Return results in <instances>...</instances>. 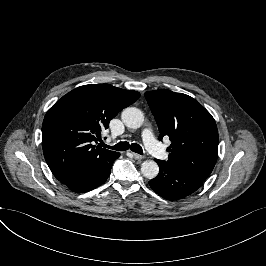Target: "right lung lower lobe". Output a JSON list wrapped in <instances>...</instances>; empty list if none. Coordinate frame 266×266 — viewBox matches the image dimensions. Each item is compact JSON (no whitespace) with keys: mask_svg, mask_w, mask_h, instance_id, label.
<instances>
[{"mask_svg":"<svg viewBox=\"0 0 266 266\" xmlns=\"http://www.w3.org/2000/svg\"><path fill=\"white\" fill-rule=\"evenodd\" d=\"M120 156L118 154L109 162L98 166H84L69 181L64 183L70 190L78 193L88 192L103 184L110 175L113 162Z\"/></svg>","mask_w":266,"mask_h":266,"instance_id":"98d812e1","label":"right lung lower lobe"}]
</instances>
